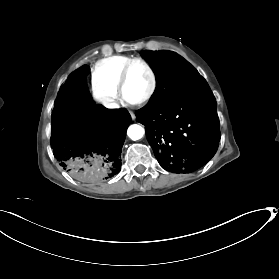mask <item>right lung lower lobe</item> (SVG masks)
<instances>
[{
    "instance_id": "right-lung-lower-lobe-1",
    "label": "right lung lower lobe",
    "mask_w": 279,
    "mask_h": 279,
    "mask_svg": "<svg viewBox=\"0 0 279 279\" xmlns=\"http://www.w3.org/2000/svg\"><path fill=\"white\" fill-rule=\"evenodd\" d=\"M87 66L72 73L62 86L52 112L51 147L69 175L87 183L115 176L121 167L130 115L125 108L107 109L91 98Z\"/></svg>"
}]
</instances>
